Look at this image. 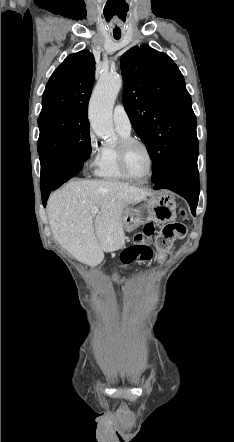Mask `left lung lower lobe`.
Instances as JSON below:
<instances>
[{"label": "left lung lower lobe", "mask_w": 234, "mask_h": 442, "mask_svg": "<svg viewBox=\"0 0 234 442\" xmlns=\"http://www.w3.org/2000/svg\"><path fill=\"white\" fill-rule=\"evenodd\" d=\"M198 140L191 141L178 155L167 174L154 182V189H169L183 196L194 214L199 199V173L197 167Z\"/></svg>", "instance_id": "1"}]
</instances>
